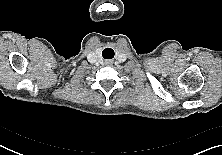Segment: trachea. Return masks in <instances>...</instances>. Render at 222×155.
Masks as SVG:
<instances>
[{"label":"trachea","instance_id":"trachea-1","mask_svg":"<svg viewBox=\"0 0 222 155\" xmlns=\"http://www.w3.org/2000/svg\"><path fill=\"white\" fill-rule=\"evenodd\" d=\"M102 55L105 59H111L114 57V51L111 48H106L103 50Z\"/></svg>","mask_w":222,"mask_h":155}]
</instances>
